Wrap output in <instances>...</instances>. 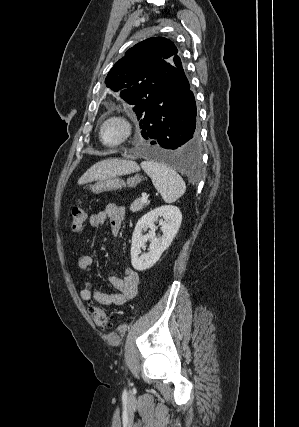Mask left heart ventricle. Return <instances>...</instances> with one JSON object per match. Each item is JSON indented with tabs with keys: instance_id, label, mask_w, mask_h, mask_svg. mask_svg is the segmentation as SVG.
<instances>
[{
	"instance_id": "obj_1",
	"label": "left heart ventricle",
	"mask_w": 299,
	"mask_h": 427,
	"mask_svg": "<svg viewBox=\"0 0 299 427\" xmlns=\"http://www.w3.org/2000/svg\"><path fill=\"white\" fill-rule=\"evenodd\" d=\"M123 132V127L118 121L108 122L102 132V136L105 142L113 143L119 140Z\"/></svg>"
}]
</instances>
